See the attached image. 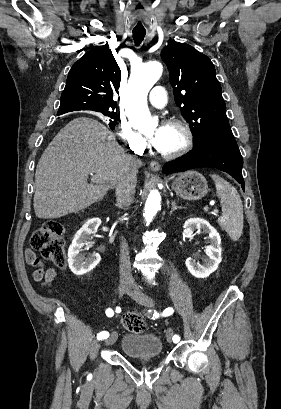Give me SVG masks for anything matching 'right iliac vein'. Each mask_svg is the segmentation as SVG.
Returning a JSON list of instances; mask_svg holds the SVG:
<instances>
[{
    "mask_svg": "<svg viewBox=\"0 0 281 409\" xmlns=\"http://www.w3.org/2000/svg\"><path fill=\"white\" fill-rule=\"evenodd\" d=\"M129 289V284L126 281H121L119 284V295L122 296ZM117 340V334L112 333L111 336L105 340V345L110 346Z\"/></svg>",
    "mask_w": 281,
    "mask_h": 409,
    "instance_id": "1",
    "label": "right iliac vein"
}]
</instances>
